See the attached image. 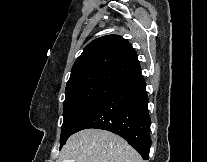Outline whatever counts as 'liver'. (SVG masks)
Returning <instances> with one entry per match:
<instances>
[{
  "label": "liver",
  "mask_w": 207,
  "mask_h": 162,
  "mask_svg": "<svg viewBox=\"0 0 207 162\" xmlns=\"http://www.w3.org/2000/svg\"><path fill=\"white\" fill-rule=\"evenodd\" d=\"M144 162L122 137L101 129H85L67 140L57 162Z\"/></svg>",
  "instance_id": "obj_1"
}]
</instances>
